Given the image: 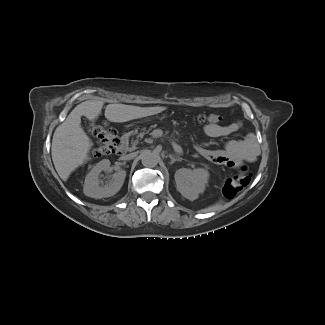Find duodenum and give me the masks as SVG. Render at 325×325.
<instances>
[{
  "label": "duodenum",
  "instance_id": "1",
  "mask_svg": "<svg viewBox=\"0 0 325 325\" xmlns=\"http://www.w3.org/2000/svg\"><path fill=\"white\" fill-rule=\"evenodd\" d=\"M127 149H128V139L126 136H122L116 145L115 151L117 155L125 156Z\"/></svg>",
  "mask_w": 325,
  "mask_h": 325
}]
</instances>
